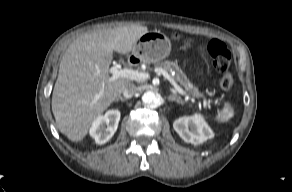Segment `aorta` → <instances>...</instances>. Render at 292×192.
<instances>
[{"mask_svg": "<svg viewBox=\"0 0 292 192\" xmlns=\"http://www.w3.org/2000/svg\"><path fill=\"white\" fill-rule=\"evenodd\" d=\"M142 101L149 108H156L159 105V95L153 91H146L142 96Z\"/></svg>", "mask_w": 292, "mask_h": 192, "instance_id": "aorta-1", "label": "aorta"}]
</instances>
